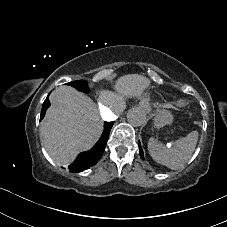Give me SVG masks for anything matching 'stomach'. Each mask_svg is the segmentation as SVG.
I'll use <instances>...</instances> for the list:
<instances>
[{
	"mask_svg": "<svg viewBox=\"0 0 227 227\" xmlns=\"http://www.w3.org/2000/svg\"><path fill=\"white\" fill-rule=\"evenodd\" d=\"M173 122V115L167 110H158L155 116V125L157 127H163Z\"/></svg>",
	"mask_w": 227,
	"mask_h": 227,
	"instance_id": "0dacf381",
	"label": "stomach"
}]
</instances>
